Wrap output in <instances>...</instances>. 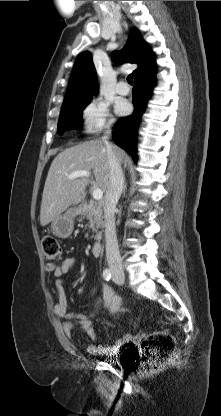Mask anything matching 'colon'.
I'll return each mask as SVG.
<instances>
[{
	"mask_svg": "<svg viewBox=\"0 0 221 416\" xmlns=\"http://www.w3.org/2000/svg\"><path fill=\"white\" fill-rule=\"evenodd\" d=\"M44 257L48 260H58L61 257V247L56 238H42ZM175 348V339L165 331H154L146 336L142 343L144 363L147 367L164 361Z\"/></svg>",
	"mask_w": 221,
	"mask_h": 416,
	"instance_id": "obj_1",
	"label": "colon"
}]
</instances>
